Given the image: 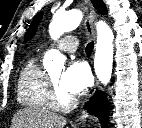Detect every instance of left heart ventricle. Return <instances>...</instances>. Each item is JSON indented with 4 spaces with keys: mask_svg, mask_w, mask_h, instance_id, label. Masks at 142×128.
Returning a JSON list of instances; mask_svg holds the SVG:
<instances>
[{
    "mask_svg": "<svg viewBox=\"0 0 142 128\" xmlns=\"http://www.w3.org/2000/svg\"><path fill=\"white\" fill-rule=\"evenodd\" d=\"M51 79L53 80V82L56 84V86L59 88L61 94H62V98L65 100L67 99L68 96L61 88H60V85H59V80H60V72H56L54 74L51 75Z\"/></svg>",
    "mask_w": 142,
    "mask_h": 128,
    "instance_id": "1",
    "label": "left heart ventricle"
}]
</instances>
